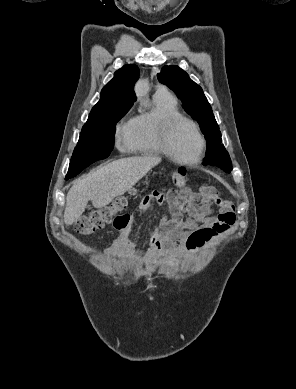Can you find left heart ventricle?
I'll return each mask as SVG.
<instances>
[{"mask_svg": "<svg viewBox=\"0 0 296 389\" xmlns=\"http://www.w3.org/2000/svg\"><path fill=\"white\" fill-rule=\"evenodd\" d=\"M171 147L177 157L185 160L195 159L200 142L194 128L186 122L177 124L172 132Z\"/></svg>", "mask_w": 296, "mask_h": 389, "instance_id": "obj_1", "label": "left heart ventricle"}]
</instances>
